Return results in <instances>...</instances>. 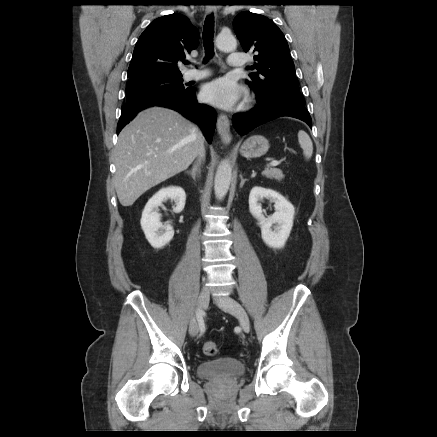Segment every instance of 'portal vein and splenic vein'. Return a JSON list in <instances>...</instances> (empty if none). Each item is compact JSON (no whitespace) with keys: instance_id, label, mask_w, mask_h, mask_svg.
I'll return each instance as SVG.
<instances>
[{"instance_id":"18ae733b","label":"portal vein and splenic vein","mask_w":437,"mask_h":437,"mask_svg":"<svg viewBox=\"0 0 437 437\" xmlns=\"http://www.w3.org/2000/svg\"><path fill=\"white\" fill-rule=\"evenodd\" d=\"M280 164V162L279 161H272V162H270L268 165H267V167L269 168V167H276V166H278Z\"/></svg>"}]
</instances>
